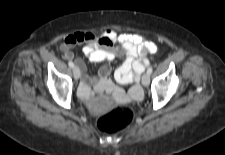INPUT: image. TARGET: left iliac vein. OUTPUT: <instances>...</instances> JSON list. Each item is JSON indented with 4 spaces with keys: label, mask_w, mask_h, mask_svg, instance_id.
Wrapping results in <instances>:
<instances>
[{
    "label": "left iliac vein",
    "mask_w": 225,
    "mask_h": 155,
    "mask_svg": "<svg viewBox=\"0 0 225 155\" xmlns=\"http://www.w3.org/2000/svg\"><path fill=\"white\" fill-rule=\"evenodd\" d=\"M150 83V75L148 73H145L143 76H142V84L143 86L147 87Z\"/></svg>",
    "instance_id": "4c4485c4"
}]
</instances>
